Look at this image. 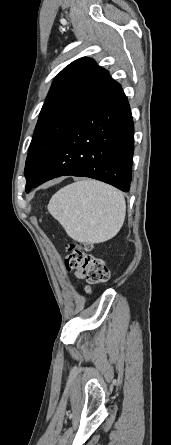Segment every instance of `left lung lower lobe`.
<instances>
[{"label":"left lung lower lobe","instance_id":"obj_1","mask_svg":"<svg viewBox=\"0 0 171 445\" xmlns=\"http://www.w3.org/2000/svg\"><path fill=\"white\" fill-rule=\"evenodd\" d=\"M134 126L121 87L92 107L64 135L25 190L58 176L90 177L128 192Z\"/></svg>","mask_w":171,"mask_h":445}]
</instances>
